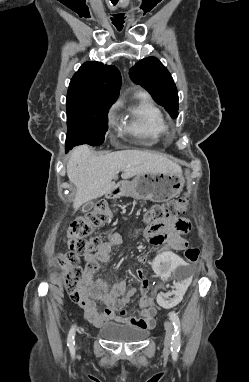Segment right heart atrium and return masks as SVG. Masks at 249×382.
<instances>
[{
    "instance_id": "d8ad5b80",
    "label": "right heart atrium",
    "mask_w": 249,
    "mask_h": 382,
    "mask_svg": "<svg viewBox=\"0 0 249 382\" xmlns=\"http://www.w3.org/2000/svg\"><path fill=\"white\" fill-rule=\"evenodd\" d=\"M108 120L109 122H112L113 121V110H111L108 114Z\"/></svg>"
}]
</instances>
